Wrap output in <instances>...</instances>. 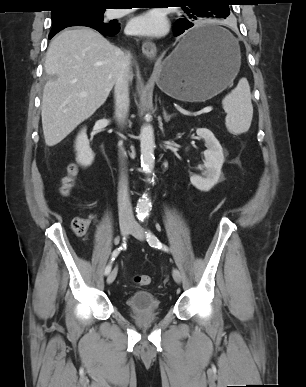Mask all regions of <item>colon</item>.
Here are the masks:
<instances>
[{"label":"colon","instance_id":"colon-1","mask_svg":"<svg viewBox=\"0 0 306 387\" xmlns=\"http://www.w3.org/2000/svg\"><path fill=\"white\" fill-rule=\"evenodd\" d=\"M78 174V167L76 164H70L67 167L66 174L61 179L60 191L62 195L67 196L70 194L72 189L75 186L76 177ZM88 221L82 217H76L72 221V229L74 233L78 236L84 235L88 230ZM133 281L138 286H146L151 282V278L145 274H136L133 277Z\"/></svg>","mask_w":306,"mask_h":387}]
</instances>
